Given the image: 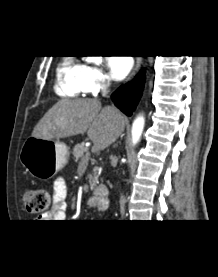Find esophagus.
<instances>
[{
	"mask_svg": "<svg viewBox=\"0 0 218 277\" xmlns=\"http://www.w3.org/2000/svg\"><path fill=\"white\" fill-rule=\"evenodd\" d=\"M142 60H143L142 57H136L135 66H134V68H133V70H132V72H131V74H130L128 79H131L138 72V70L141 67Z\"/></svg>",
	"mask_w": 218,
	"mask_h": 277,
	"instance_id": "1",
	"label": "esophagus"
}]
</instances>
